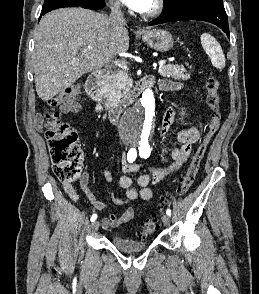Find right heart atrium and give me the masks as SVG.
<instances>
[{
    "label": "right heart atrium",
    "instance_id": "1",
    "mask_svg": "<svg viewBox=\"0 0 259 294\" xmlns=\"http://www.w3.org/2000/svg\"><path fill=\"white\" fill-rule=\"evenodd\" d=\"M110 6L114 12H120V5L116 1L110 0Z\"/></svg>",
    "mask_w": 259,
    "mask_h": 294
}]
</instances>
